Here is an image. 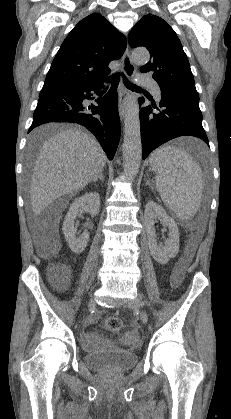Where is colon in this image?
Listing matches in <instances>:
<instances>
[{
    "label": "colon",
    "mask_w": 231,
    "mask_h": 419,
    "mask_svg": "<svg viewBox=\"0 0 231 419\" xmlns=\"http://www.w3.org/2000/svg\"><path fill=\"white\" fill-rule=\"evenodd\" d=\"M51 273L56 277L64 275V269L61 265H53ZM105 328L111 332H119L122 329V321L117 316H109L104 320Z\"/></svg>",
    "instance_id": "5ec220e1"
}]
</instances>
